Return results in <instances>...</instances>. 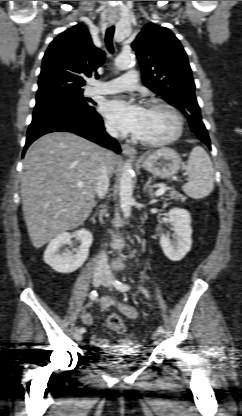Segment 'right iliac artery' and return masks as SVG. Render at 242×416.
<instances>
[{"label":"right iliac artery","mask_w":242,"mask_h":416,"mask_svg":"<svg viewBox=\"0 0 242 416\" xmlns=\"http://www.w3.org/2000/svg\"><path fill=\"white\" fill-rule=\"evenodd\" d=\"M97 296H98V293L95 290L91 291V293L89 295V297H90L91 300H96L97 299ZM79 331L81 333H84V332H86V329L84 327H82V328H80Z\"/></svg>","instance_id":"right-iliac-artery-1"}]
</instances>
